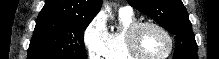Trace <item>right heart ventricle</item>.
Listing matches in <instances>:
<instances>
[{"mask_svg": "<svg viewBox=\"0 0 219 59\" xmlns=\"http://www.w3.org/2000/svg\"><path fill=\"white\" fill-rule=\"evenodd\" d=\"M120 25L116 30L109 32L107 46L102 55L103 59H136L126 45V34L129 28L137 21L133 13L119 12Z\"/></svg>", "mask_w": 219, "mask_h": 59, "instance_id": "obj_1", "label": "right heart ventricle"}]
</instances>
